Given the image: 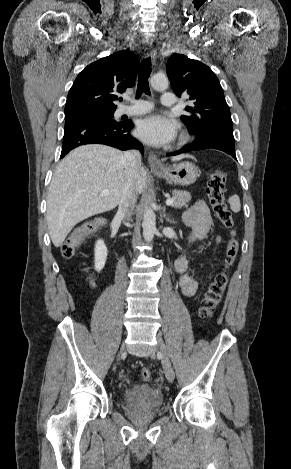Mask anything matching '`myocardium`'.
<instances>
[{"mask_svg":"<svg viewBox=\"0 0 291 469\" xmlns=\"http://www.w3.org/2000/svg\"><path fill=\"white\" fill-rule=\"evenodd\" d=\"M188 140V135L186 133H183L180 138V144L186 143Z\"/></svg>","mask_w":291,"mask_h":469,"instance_id":"myocardium-1","label":"myocardium"}]
</instances>
